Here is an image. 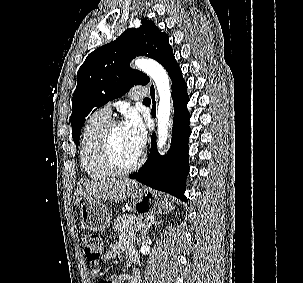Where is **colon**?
Here are the masks:
<instances>
[{"instance_id":"colon-1","label":"colon","mask_w":303,"mask_h":283,"mask_svg":"<svg viewBox=\"0 0 303 283\" xmlns=\"http://www.w3.org/2000/svg\"><path fill=\"white\" fill-rule=\"evenodd\" d=\"M80 247L91 263H97L105 250V240L94 234H84L80 238ZM98 283H115L114 278H102Z\"/></svg>"}]
</instances>
